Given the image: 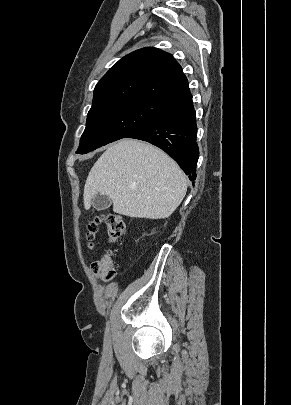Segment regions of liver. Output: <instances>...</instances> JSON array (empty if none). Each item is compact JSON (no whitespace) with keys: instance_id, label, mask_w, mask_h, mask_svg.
I'll return each mask as SVG.
<instances>
[{"instance_id":"liver-1","label":"liver","mask_w":291,"mask_h":405,"mask_svg":"<svg viewBox=\"0 0 291 405\" xmlns=\"http://www.w3.org/2000/svg\"><path fill=\"white\" fill-rule=\"evenodd\" d=\"M187 191L177 163L159 148L135 139L110 145L91 168L84 186V207L100 194L115 213L149 219L168 218Z\"/></svg>"}]
</instances>
